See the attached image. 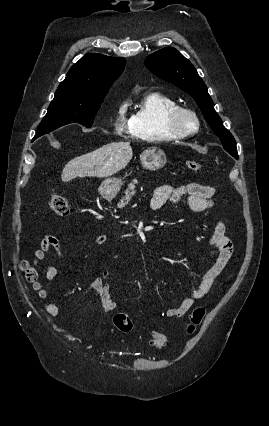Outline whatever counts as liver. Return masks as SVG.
Segmentation results:
<instances>
[{"label": "liver", "mask_w": 269, "mask_h": 426, "mask_svg": "<svg viewBox=\"0 0 269 426\" xmlns=\"http://www.w3.org/2000/svg\"><path fill=\"white\" fill-rule=\"evenodd\" d=\"M132 156L129 142L109 143L70 160L63 168L61 179L68 182L84 177L106 178L126 167Z\"/></svg>", "instance_id": "liver-1"}]
</instances>
